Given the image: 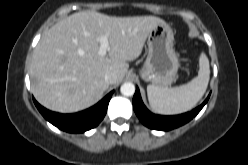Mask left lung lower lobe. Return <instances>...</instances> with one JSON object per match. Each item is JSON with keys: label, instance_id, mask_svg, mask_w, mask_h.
<instances>
[{"label": "left lung lower lobe", "instance_id": "0a47b994", "mask_svg": "<svg viewBox=\"0 0 248 165\" xmlns=\"http://www.w3.org/2000/svg\"><path fill=\"white\" fill-rule=\"evenodd\" d=\"M210 96V95H209ZM209 96L202 105L191 112L175 116H161L151 113L143 104L138 87L133 97V107L140 121L147 127L155 130L168 131L177 128L195 117L207 103Z\"/></svg>", "mask_w": 248, "mask_h": 165}]
</instances>
